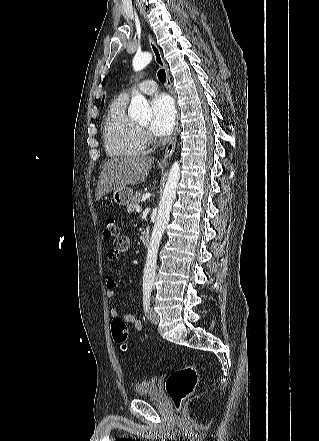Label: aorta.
<instances>
[{
  "instance_id": "obj_1",
  "label": "aorta",
  "mask_w": 319,
  "mask_h": 441,
  "mask_svg": "<svg viewBox=\"0 0 319 441\" xmlns=\"http://www.w3.org/2000/svg\"><path fill=\"white\" fill-rule=\"evenodd\" d=\"M152 60V55L148 52L136 54L132 61L133 70L138 72L144 69ZM128 114L132 119L149 121L152 119V111L146 98L136 93L131 100ZM180 163L175 161L170 169L167 182L164 187L161 201L159 203L157 220L148 247L146 264L143 275V288L152 287L156 272L158 249L162 235L168 225L171 208L176 197V189L180 179Z\"/></svg>"
}]
</instances>
